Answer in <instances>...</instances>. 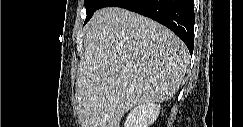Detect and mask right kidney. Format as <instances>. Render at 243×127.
I'll return each instance as SVG.
<instances>
[{
	"mask_svg": "<svg viewBox=\"0 0 243 127\" xmlns=\"http://www.w3.org/2000/svg\"><path fill=\"white\" fill-rule=\"evenodd\" d=\"M161 106L154 102L139 104L128 114L125 127H149L159 116Z\"/></svg>",
	"mask_w": 243,
	"mask_h": 127,
	"instance_id": "1",
	"label": "right kidney"
}]
</instances>
